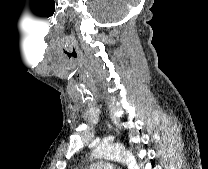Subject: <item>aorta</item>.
Segmentation results:
<instances>
[{
	"label": "aorta",
	"instance_id": "762f6f07",
	"mask_svg": "<svg viewBox=\"0 0 208 169\" xmlns=\"http://www.w3.org/2000/svg\"><path fill=\"white\" fill-rule=\"evenodd\" d=\"M92 156L97 159L122 161L128 169H139L134 156L118 144L101 143L93 151Z\"/></svg>",
	"mask_w": 208,
	"mask_h": 169
}]
</instances>
